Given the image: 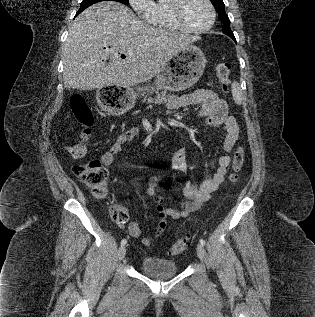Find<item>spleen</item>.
<instances>
[{
	"label": "spleen",
	"mask_w": 315,
	"mask_h": 317,
	"mask_svg": "<svg viewBox=\"0 0 315 317\" xmlns=\"http://www.w3.org/2000/svg\"><path fill=\"white\" fill-rule=\"evenodd\" d=\"M232 94H233V99L237 104H241L243 101V94L241 87L239 83L233 82L232 83Z\"/></svg>",
	"instance_id": "spleen-1"
}]
</instances>
